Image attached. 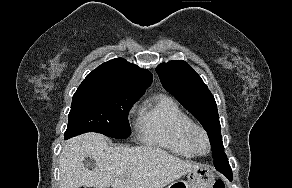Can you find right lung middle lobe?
<instances>
[{
  "label": "right lung middle lobe",
  "mask_w": 292,
  "mask_h": 188,
  "mask_svg": "<svg viewBox=\"0 0 292 188\" xmlns=\"http://www.w3.org/2000/svg\"><path fill=\"white\" fill-rule=\"evenodd\" d=\"M140 97L100 85H80L73 95L65 139L89 131L128 138L131 134L128 113Z\"/></svg>",
  "instance_id": "dd1d6c3e"
}]
</instances>
